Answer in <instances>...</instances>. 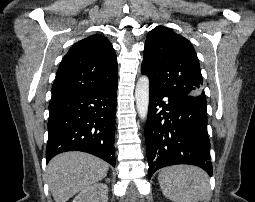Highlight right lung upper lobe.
Segmentation results:
<instances>
[{
	"instance_id": "1",
	"label": "right lung upper lobe",
	"mask_w": 255,
	"mask_h": 202,
	"mask_svg": "<svg viewBox=\"0 0 255 202\" xmlns=\"http://www.w3.org/2000/svg\"><path fill=\"white\" fill-rule=\"evenodd\" d=\"M117 58L100 34L75 43L62 59L52 86V98L107 87L118 79Z\"/></svg>"
}]
</instances>
